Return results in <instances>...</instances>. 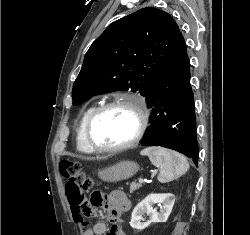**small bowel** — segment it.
Returning <instances> with one entry per match:
<instances>
[{
	"instance_id": "1",
	"label": "small bowel",
	"mask_w": 250,
	"mask_h": 235,
	"mask_svg": "<svg viewBox=\"0 0 250 235\" xmlns=\"http://www.w3.org/2000/svg\"><path fill=\"white\" fill-rule=\"evenodd\" d=\"M101 211L105 214L107 222H97L92 227L87 226L85 219L93 216L95 210L84 201L81 205L70 203V210L75 222H80L85 226L84 235H128L119 217L129 210L131 203L126 194L120 190L112 191L108 201L101 204Z\"/></svg>"
}]
</instances>
